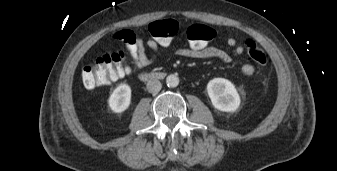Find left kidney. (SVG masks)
Returning <instances> with one entry per match:
<instances>
[{
  "label": "left kidney",
  "mask_w": 337,
  "mask_h": 171,
  "mask_svg": "<svg viewBox=\"0 0 337 171\" xmlns=\"http://www.w3.org/2000/svg\"><path fill=\"white\" fill-rule=\"evenodd\" d=\"M207 92L212 105L223 112H235L240 106V96L232 82L224 78H214L207 84Z\"/></svg>",
  "instance_id": "5707ae66"
}]
</instances>
